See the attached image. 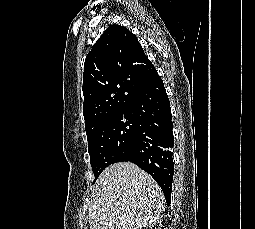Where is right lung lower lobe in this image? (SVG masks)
I'll use <instances>...</instances> for the list:
<instances>
[{"mask_svg": "<svg viewBox=\"0 0 255 229\" xmlns=\"http://www.w3.org/2000/svg\"><path fill=\"white\" fill-rule=\"evenodd\" d=\"M137 119L130 161L150 174L161 187L166 203L171 202L173 132L170 102L157 71L142 84L124 109Z\"/></svg>", "mask_w": 255, "mask_h": 229, "instance_id": "right-lung-lower-lobe-1", "label": "right lung lower lobe"}]
</instances>
